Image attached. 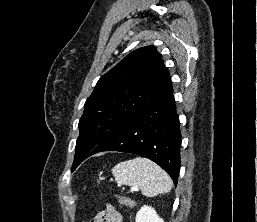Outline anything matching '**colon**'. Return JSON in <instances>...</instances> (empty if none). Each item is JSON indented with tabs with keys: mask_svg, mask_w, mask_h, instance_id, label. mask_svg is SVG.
<instances>
[{
	"mask_svg": "<svg viewBox=\"0 0 257 222\" xmlns=\"http://www.w3.org/2000/svg\"><path fill=\"white\" fill-rule=\"evenodd\" d=\"M119 201L122 205H128L129 199L125 196H119Z\"/></svg>",
	"mask_w": 257,
	"mask_h": 222,
	"instance_id": "5ec220e1",
	"label": "colon"
}]
</instances>
